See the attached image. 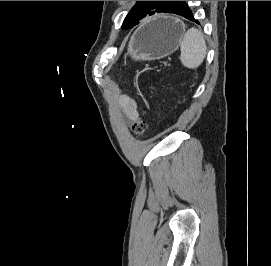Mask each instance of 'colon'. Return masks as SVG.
<instances>
[{
    "label": "colon",
    "instance_id": "colon-1",
    "mask_svg": "<svg viewBox=\"0 0 271 266\" xmlns=\"http://www.w3.org/2000/svg\"><path fill=\"white\" fill-rule=\"evenodd\" d=\"M147 122L143 118H137L131 125V130L136 136H141L147 131Z\"/></svg>",
    "mask_w": 271,
    "mask_h": 266
}]
</instances>
